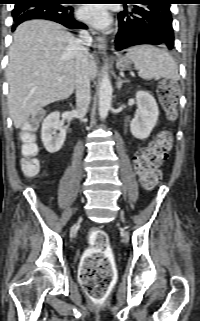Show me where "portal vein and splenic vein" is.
Here are the masks:
<instances>
[{
    "label": "portal vein and splenic vein",
    "mask_w": 200,
    "mask_h": 321,
    "mask_svg": "<svg viewBox=\"0 0 200 321\" xmlns=\"http://www.w3.org/2000/svg\"><path fill=\"white\" fill-rule=\"evenodd\" d=\"M58 81H62V79H61V78H58Z\"/></svg>",
    "instance_id": "portal-vein-and-splenic-vein-1"
}]
</instances>
